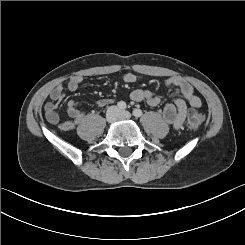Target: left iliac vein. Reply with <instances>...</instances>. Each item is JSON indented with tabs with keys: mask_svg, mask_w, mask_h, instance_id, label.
I'll list each match as a JSON object with an SVG mask.
<instances>
[{
	"mask_svg": "<svg viewBox=\"0 0 245 245\" xmlns=\"http://www.w3.org/2000/svg\"><path fill=\"white\" fill-rule=\"evenodd\" d=\"M131 117V113L130 112H128V111H121L120 113H119V119H122V120H124V119H129Z\"/></svg>",
	"mask_w": 245,
	"mask_h": 245,
	"instance_id": "4c4485c4",
	"label": "left iliac vein"
}]
</instances>
